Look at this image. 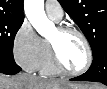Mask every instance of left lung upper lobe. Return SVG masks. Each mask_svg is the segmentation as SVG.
<instances>
[{
  "label": "left lung upper lobe",
  "instance_id": "5c2ea615",
  "mask_svg": "<svg viewBox=\"0 0 107 89\" xmlns=\"http://www.w3.org/2000/svg\"><path fill=\"white\" fill-rule=\"evenodd\" d=\"M88 39L92 52L107 46V0H58Z\"/></svg>",
  "mask_w": 107,
  "mask_h": 89
}]
</instances>
